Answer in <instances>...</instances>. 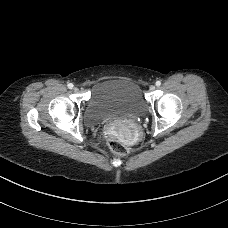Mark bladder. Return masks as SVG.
Segmentation results:
<instances>
[{
  "mask_svg": "<svg viewBox=\"0 0 228 228\" xmlns=\"http://www.w3.org/2000/svg\"><path fill=\"white\" fill-rule=\"evenodd\" d=\"M147 101L141 87L129 79H110L98 83L92 91L84 112L87 125L114 119L142 116Z\"/></svg>",
  "mask_w": 228,
  "mask_h": 228,
  "instance_id": "bladder-1",
  "label": "bladder"
}]
</instances>
